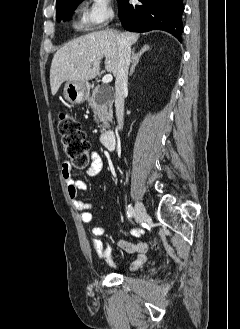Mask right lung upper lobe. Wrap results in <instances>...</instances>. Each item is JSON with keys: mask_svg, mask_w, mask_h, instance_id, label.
<instances>
[{"mask_svg": "<svg viewBox=\"0 0 240 329\" xmlns=\"http://www.w3.org/2000/svg\"><path fill=\"white\" fill-rule=\"evenodd\" d=\"M66 0H56V6L60 5L61 3H63Z\"/></svg>", "mask_w": 240, "mask_h": 329, "instance_id": "cb5924a9", "label": "right lung upper lobe"}]
</instances>
